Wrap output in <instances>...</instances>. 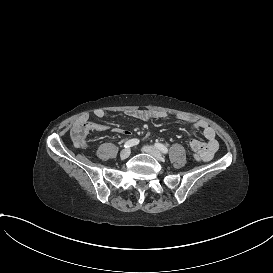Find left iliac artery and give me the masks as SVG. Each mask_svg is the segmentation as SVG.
I'll list each match as a JSON object with an SVG mask.
<instances>
[{
	"instance_id": "left-iliac-artery-1",
	"label": "left iliac artery",
	"mask_w": 273,
	"mask_h": 273,
	"mask_svg": "<svg viewBox=\"0 0 273 273\" xmlns=\"http://www.w3.org/2000/svg\"><path fill=\"white\" fill-rule=\"evenodd\" d=\"M155 146L164 154H167L168 153V149L166 146H164L163 144L161 143H156Z\"/></svg>"
}]
</instances>
